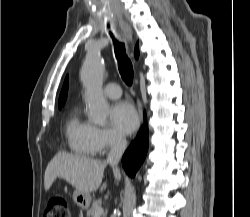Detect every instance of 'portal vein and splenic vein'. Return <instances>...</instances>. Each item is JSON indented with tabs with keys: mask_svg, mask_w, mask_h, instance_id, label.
Instances as JSON below:
<instances>
[{
	"mask_svg": "<svg viewBox=\"0 0 250 217\" xmlns=\"http://www.w3.org/2000/svg\"><path fill=\"white\" fill-rule=\"evenodd\" d=\"M103 214H104V209L102 207H99L96 209L94 217H101V215Z\"/></svg>",
	"mask_w": 250,
	"mask_h": 217,
	"instance_id": "obj_1",
	"label": "portal vein and splenic vein"
}]
</instances>
